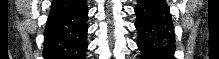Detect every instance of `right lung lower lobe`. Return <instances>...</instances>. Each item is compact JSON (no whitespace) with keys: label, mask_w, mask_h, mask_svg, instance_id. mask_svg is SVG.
Wrapping results in <instances>:
<instances>
[{"label":"right lung lower lobe","mask_w":219,"mask_h":59,"mask_svg":"<svg viewBox=\"0 0 219 59\" xmlns=\"http://www.w3.org/2000/svg\"><path fill=\"white\" fill-rule=\"evenodd\" d=\"M86 0H54L44 31V59H85Z\"/></svg>","instance_id":"98d812e1"}]
</instances>
